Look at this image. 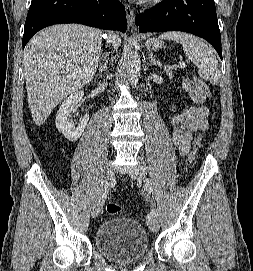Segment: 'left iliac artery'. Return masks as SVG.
Wrapping results in <instances>:
<instances>
[{
	"label": "left iliac artery",
	"instance_id": "44dca946",
	"mask_svg": "<svg viewBox=\"0 0 253 271\" xmlns=\"http://www.w3.org/2000/svg\"><path fill=\"white\" fill-rule=\"evenodd\" d=\"M145 187H146V190L149 194H151L153 192L152 183L149 179H146ZM151 214L155 215L156 217L158 216V211H157L154 203H152Z\"/></svg>",
	"mask_w": 253,
	"mask_h": 271
}]
</instances>
